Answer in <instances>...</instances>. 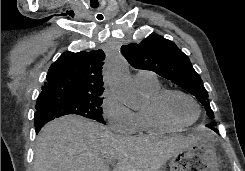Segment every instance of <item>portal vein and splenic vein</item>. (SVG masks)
Segmentation results:
<instances>
[{
    "instance_id": "portal-vein-and-splenic-vein-1",
    "label": "portal vein and splenic vein",
    "mask_w": 245,
    "mask_h": 171,
    "mask_svg": "<svg viewBox=\"0 0 245 171\" xmlns=\"http://www.w3.org/2000/svg\"><path fill=\"white\" fill-rule=\"evenodd\" d=\"M108 163L113 165L115 162H114V160H110V161H108Z\"/></svg>"
}]
</instances>
